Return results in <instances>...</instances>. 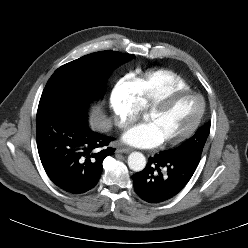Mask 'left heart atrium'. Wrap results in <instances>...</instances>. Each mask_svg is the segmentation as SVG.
<instances>
[{"label":"left heart atrium","mask_w":248,"mask_h":248,"mask_svg":"<svg viewBox=\"0 0 248 248\" xmlns=\"http://www.w3.org/2000/svg\"><path fill=\"white\" fill-rule=\"evenodd\" d=\"M122 141L139 148H153L162 142L155 128L149 122H144L128 129L123 134Z\"/></svg>","instance_id":"39dd6f15"}]
</instances>
